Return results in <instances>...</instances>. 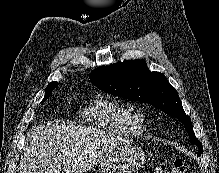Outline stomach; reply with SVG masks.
Returning a JSON list of instances; mask_svg holds the SVG:
<instances>
[{"mask_svg": "<svg viewBox=\"0 0 219 173\" xmlns=\"http://www.w3.org/2000/svg\"><path fill=\"white\" fill-rule=\"evenodd\" d=\"M145 162V152L139 146L122 144L101 162L99 173H136Z\"/></svg>", "mask_w": 219, "mask_h": 173, "instance_id": "1", "label": "stomach"}]
</instances>
